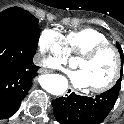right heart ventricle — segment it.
<instances>
[{
    "mask_svg": "<svg viewBox=\"0 0 124 124\" xmlns=\"http://www.w3.org/2000/svg\"><path fill=\"white\" fill-rule=\"evenodd\" d=\"M109 42L105 34L93 28L71 31L64 37L66 53L73 56H81L90 48Z\"/></svg>",
    "mask_w": 124,
    "mask_h": 124,
    "instance_id": "right-heart-ventricle-1",
    "label": "right heart ventricle"
}]
</instances>
